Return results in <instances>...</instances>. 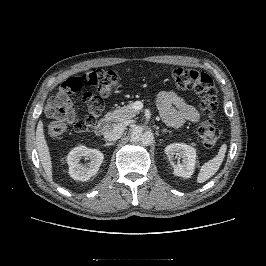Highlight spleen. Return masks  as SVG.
Here are the masks:
<instances>
[{
    "mask_svg": "<svg viewBox=\"0 0 266 266\" xmlns=\"http://www.w3.org/2000/svg\"><path fill=\"white\" fill-rule=\"evenodd\" d=\"M226 150H227V145L226 144L221 145L217 155L212 159H210L209 161L205 162L201 166L200 172L197 176L198 183H204L219 170L224 160Z\"/></svg>",
    "mask_w": 266,
    "mask_h": 266,
    "instance_id": "1",
    "label": "spleen"
}]
</instances>
